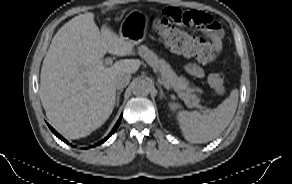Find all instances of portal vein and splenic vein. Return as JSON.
<instances>
[{
    "instance_id": "obj_1",
    "label": "portal vein and splenic vein",
    "mask_w": 292,
    "mask_h": 184,
    "mask_svg": "<svg viewBox=\"0 0 292 184\" xmlns=\"http://www.w3.org/2000/svg\"><path fill=\"white\" fill-rule=\"evenodd\" d=\"M113 63V60H112V58H106L105 59V65H111ZM176 91V90H175ZM177 92V94H178V96L179 97H181L183 100H184V102L187 104L189 101L186 99V98H184V94L183 93H180V92H178V91H176ZM200 109H203V107H201V106H198Z\"/></svg>"
}]
</instances>
